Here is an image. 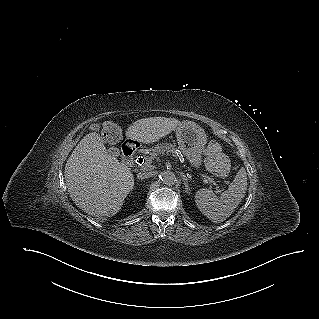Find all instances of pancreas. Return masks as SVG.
Returning <instances> with one entry per match:
<instances>
[{
  "label": "pancreas",
  "mask_w": 319,
  "mask_h": 319,
  "mask_svg": "<svg viewBox=\"0 0 319 319\" xmlns=\"http://www.w3.org/2000/svg\"><path fill=\"white\" fill-rule=\"evenodd\" d=\"M149 151H150V157L147 158L148 160L149 159L152 160L160 154L176 155L175 145L168 144V143L157 144L155 147H152Z\"/></svg>",
  "instance_id": "1"
}]
</instances>
